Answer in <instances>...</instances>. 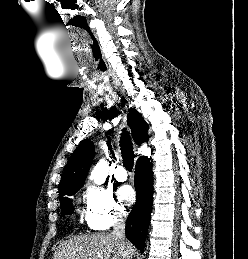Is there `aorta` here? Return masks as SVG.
Returning <instances> with one entry per match:
<instances>
[{"instance_id":"obj_1","label":"aorta","mask_w":248,"mask_h":259,"mask_svg":"<svg viewBox=\"0 0 248 259\" xmlns=\"http://www.w3.org/2000/svg\"><path fill=\"white\" fill-rule=\"evenodd\" d=\"M107 172V162L102 159L95 165L90 177L96 184H103L105 182Z\"/></svg>"}]
</instances>
